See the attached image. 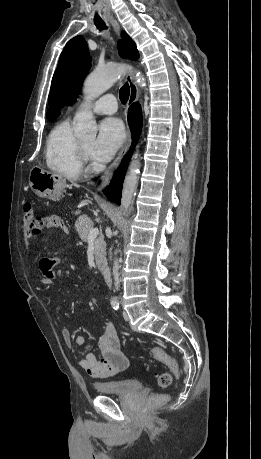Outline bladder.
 I'll use <instances>...</instances> for the list:
<instances>
[{
    "label": "bladder",
    "instance_id": "1",
    "mask_svg": "<svg viewBox=\"0 0 261 459\" xmlns=\"http://www.w3.org/2000/svg\"><path fill=\"white\" fill-rule=\"evenodd\" d=\"M94 390L99 394L130 395L142 389V383L136 379L111 380L96 382Z\"/></svg>",
    "mask_w": 261,
    "mask_h": 459
}]
</instances>
